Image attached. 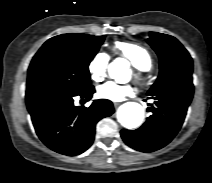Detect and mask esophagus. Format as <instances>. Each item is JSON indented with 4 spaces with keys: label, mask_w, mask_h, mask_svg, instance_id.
Instances as JSON below:
<instances>
[{
    "label": "esophagus",
    "mask_w": 212,
    "mask_h": 183,
    "mask_svg": "<svg viewBox=\"0 0 212 183\" xmlns=\"http://www.w3.org/2000/svg\"><path fill=\"white\" fill-rule=\"evenodd\" d=\"M113 105H114V107H118L120 105V103L114 102Z\"/></svg>",
    "instance_id": "1"
}]
</instances>
